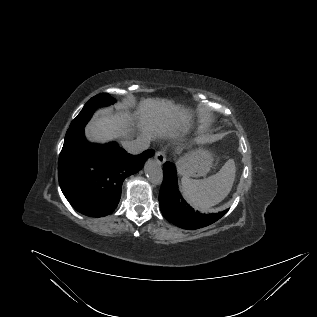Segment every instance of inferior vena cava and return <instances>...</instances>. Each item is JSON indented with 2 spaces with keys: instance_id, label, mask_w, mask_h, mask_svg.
<instances>
[{
  "instance_id": "obj_1",
  "label": "inferior vena cava",
  "mask_w": 317,
  "mask_h": 317,
  "mask_svg": "<svg viewBox=\"0 0 317 317\" xmlns=\"http://www.w3.org/2000/svg\"><path fill=\"white\" fill-rule=\"evenodd\" d=\"M122 146L128 153L137 155L148 149L149 140L146 137L139 136L136 140L123 141Z\"/></svg>"
}]
</instances>
